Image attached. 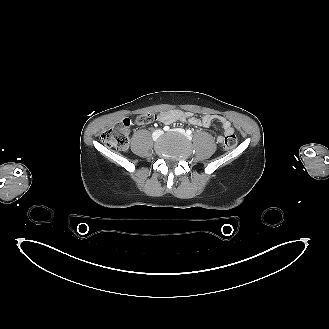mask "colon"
I'll return each mask as SVG.
<instances>
[{
  "label": "colon",
  "mask_w": 329,
  "mask_h": 329,
  "mask_svg": "<svg viewBox=\"0 0 329 329\" xmlns=\"http://www.w3.org/2000/svg\"><path fill=\"white\" fill-rule=\"evenodd\" d=\"M157 116L152 113L142 114L135 118L134 122L126 118L119 121L110 128L105 129L101 135V141L109 147H115L120 150H126L128 148V134L129 127L134 123L135 125H146L154 122ZM238 139L236 135L231 134L226 136L223 141V147L226 150H231L236 147Z\"/></svg>",
  "instance_id": "obj_1"
}]
</instances>
